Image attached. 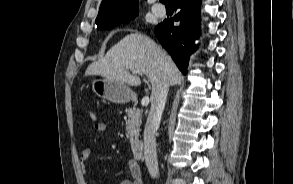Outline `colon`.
Masks as SVG:
<instances>
[{"mask_svg":"<svg viewBox=\"0 0 293 184\" xmlns=\"http://www.w3.org/2000/svg\"><path fill=\"white\" fill-rule=\"evenodd\" d=\"M89 118L92 120V121H95L97 116H96V113L94 111H90L89 112Z\"/></svg>","mask_w":293,"mask_h":184,"instance_id":"obj_1","label":"colon"}]
</instances>
